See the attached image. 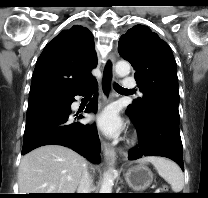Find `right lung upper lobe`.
<instances>
[{"label": "right lung upper lobe", "mask_w": 208, "mask_h": 198, "mask_svg": "<svg viewBox=\"0 0 208 198\" xmlns=\"http://www.w3.org/2000/svg\"><path fill=\"white\" fill-rule=\"evenodd\" d=\"M97 63L90 30L74 25L61 31L37 60L28 107L75 94L94 79L91 70Z\"/></svg>", "instance_id": "1"}]
</instances>
